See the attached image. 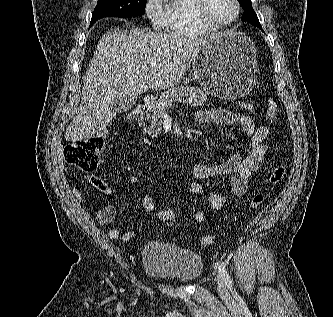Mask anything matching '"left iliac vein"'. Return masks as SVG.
<instances>
[{
	"instance_id": "left-iliac-vein-1",
	"label": "left iliac vein",
	"mask_w": 333,
	"mask_h": 317,
	"mask_svg": "<svg viewBox=\"0 0 333 317\" xmlns=\"http://www.w3.org/2000/svg\"><path fill=\"white\" fill-rule=\"evenodd\" d=\"M217 289L223 299H228L230 294L221 275L216 277Z\"/></svg>"
}]
</instances>
